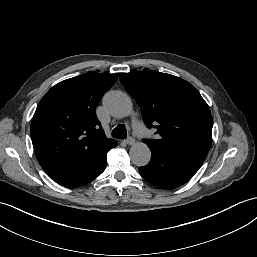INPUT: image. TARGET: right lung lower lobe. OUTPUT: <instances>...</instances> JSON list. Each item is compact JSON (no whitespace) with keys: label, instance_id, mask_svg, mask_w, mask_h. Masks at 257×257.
I'll return each instance as SVG.
<instances>
[{"label":"right lung lower lobe","instance_id":"98d812e1","mask_svg":"<svg viewBox=\"0 0 257 257\" xmlns=\"http://www.w3.org/2000/svg\"><path fill=\"white\" fill-rule=\"evenodd\" d=\"M106 163H107V153L100 160L95 162L93 165L83 170L80 174L76 176H71V177H62V178L56 179L55 181L58 184L66 187H78V186L84 185L90 182L91 180L95 179L97 176H99L104 171L106 167Z\"/></svg>","mask_w":257,"mask_h":257}]
</instances>
